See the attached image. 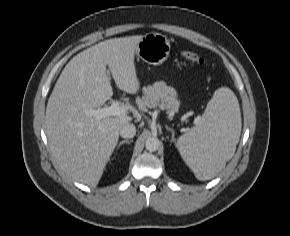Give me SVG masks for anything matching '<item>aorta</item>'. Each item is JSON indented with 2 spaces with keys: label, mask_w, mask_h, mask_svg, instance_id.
<instances>
[{
  "label": "aorta",
  "mask_w": 290,
  "mask_h": 236,
  "mask_svg": "<svg viewBox=\"0 0 290 236\" xmlns=\"http://www.w3.org/2000/svg\"><path fill=\"white\" fill-rule=\"evenodd\" d=\"M159 145H160V141L156 137H149L145 142L146 149L151 152L156 151Z\"/></svg>",
  "instance_id": "obj_1"
}]
</instances>
